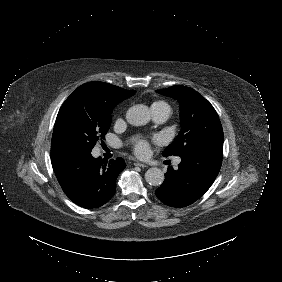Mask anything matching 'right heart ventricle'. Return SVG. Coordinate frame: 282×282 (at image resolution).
<instances>
[{
    "mask_svg": "<svg viewBox=\"0 0 282 282\" xmlns=\"http://www.w3.org/2000/svg\"><path fill=\"white\" fill-rule=\"evenodd\" d=\"M163 105H167L165 102L163 101H156L152 104V109H155V108H158V107H161Z\"/></svg>",
    "mask_w": 282,
    "mask_h": 282,
    "instance_id": "obj_1",
    "label": "right heart ventricle"
}]
</instances>
